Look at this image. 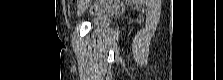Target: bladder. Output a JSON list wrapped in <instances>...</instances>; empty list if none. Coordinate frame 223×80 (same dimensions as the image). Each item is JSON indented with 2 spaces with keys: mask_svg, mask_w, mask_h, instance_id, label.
I'll list each match as a JSON object with an SVG mask.
<instances>
[{
  "mask_svg": "<svg viewBox=\"0 0 223 80\" xmlns=\"http://www.w3.org/2000/svg\"><path fill=\"white\" fill-rule=\"evenodd\" d=\"M108 18L104 15H98L94 17L91 21L94 27H103L107 24Z\"/></svg>",
  "mask_w": 223,
  "mask_h": 80,
  "instance_id": "1",
  "label": "bladder"
}]
</instances>
